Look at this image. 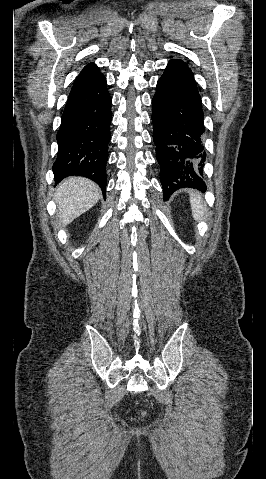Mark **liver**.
<instances>
[{"mask_svg":"<svg viewBox=\"0 0 266 479\" xmlns=\"http://www.w3.org/2000/svg\"><path fill=\"white\" fill-rule=\"evenodd\" d=\"M101 191L96 183L84 177H70L56 189L58 226L64 227L92 208L100 199Z\"/></svg>","mask_w":266,"mask_h":479,"instance_id":"1","label":"liver"}]
</instances>
